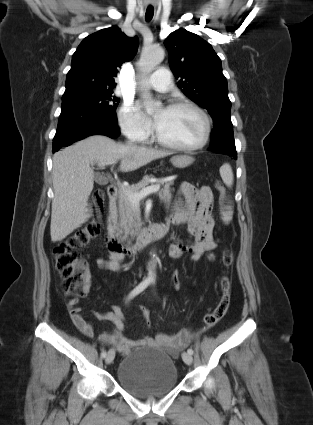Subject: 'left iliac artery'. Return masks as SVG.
I'll use <instances>...</instances> for the list:
<instances>
[{"label": "left iliac artery", "instance_id": "obj_1", "mask_svg": "<svg viewBox=\"0 0 313 425\" xmlns=\"http://www.w3.org/2000/svg\"><path fill=\"white\" fill-rule=\"evenodd\" d=\"M187 352L189 353V354H193V350H192V348H189L188 350H187Z\"/></svg>", "mask_w": 313, "mask_h": 425}]
</instances>
